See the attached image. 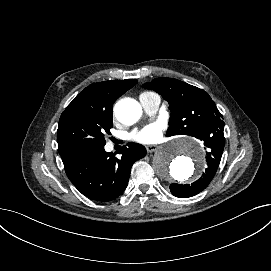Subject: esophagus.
Masks as SVG:
<instances>
[{"label":"esophagus","instance_id":"esophagus-1","mask_svg":"<svg viewBox=\"0 0 271 271\" xmlns=\"http://www.w3.org/2000/svg\"><path fill=\"white\" fill-rule=\"evenodd\" d=\"M158 149V146L157 145H147L146 146V150L148 153H152L154 151H156Z\"/></svg>","mask_w":271,"mask_h":271}]
</instances>
